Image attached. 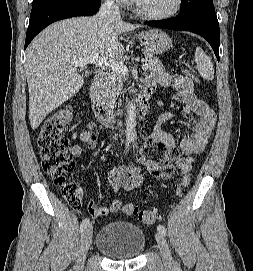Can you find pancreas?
Wrapping results in <instances>:
<instances>
[{
	"mask_svg": "<svg viewBox=\"0 0 253 271\" xmlns=\"http://www.w3.org/2000/svg\"><path fill=\"white\" fill-rule=\"evenodd\" d=\"M144 63L148 65V69L152 72L162 74L165 73V68L161 61L154 55L145 52ZM126 76L116 73L115 71L108 72L105 78L99 85L98 100L104 105L114 104L119 95L122 94L123 82Z\"/></svg>",
	"mask_w": 253,
	"mask_h": 271,
	"instance_id": "obj_1",
	"label": "pancreas"
}]
</instances>
